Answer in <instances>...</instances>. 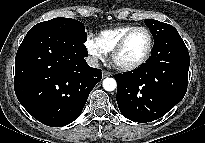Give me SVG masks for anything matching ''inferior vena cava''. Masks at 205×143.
<instances>
[{"label": "inferior vena cava", "mask_w": 205, "mask_h": 143, "mask_svg": "<svg viewBox=\"0 0 205 143\" xmlns=\"http://www.w3.org/2000/svg\"><path fill=\"white\" fill-rule=\"evenodd\" d=\"M86 62L90 67H93V68H98L99 66L98 59L95 56H88L86 58Z\"/></svg>", "instance_id": "602c4592"}]
</instances>
